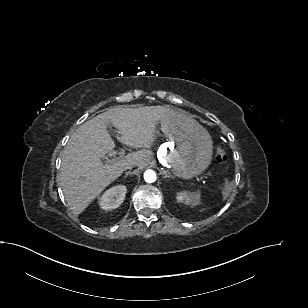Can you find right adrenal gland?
Segmentation results:
<instances>
[{
	"label": "right adrenal gland",
	"mask_w": 308,
	"mask_h": 308,
	"mask_svg": "<svg viewBox=\"0 0 308 308\" xmlns=\"http://www.w3.org/2000/svg\"><path fill=\"white\" fill-rule=\"evenodd\" d=\"M133 173L131 171H128L125 173L124 178H126L128 175H132Z\"/></svg>",
	"instance_id": "obj_1"
}]
</instances>
